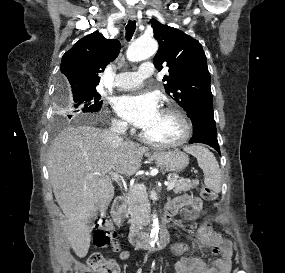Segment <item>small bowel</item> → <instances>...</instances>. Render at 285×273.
Listing matches in <instances>:
<instances>
[{
	"instance_id": "1",
	"label": "small bowel",
	"mask_w": 285,
	"mask_h": 273,
	"mask_svg": "<svg viewBox=\"0 0 285 273\" xmlns=\"http://www.w3.org/2000/svg\"><path fill=\"white\" fill-rule=\"evenodd\" d=\"M202 212L203 202L200 198L190 195H183L169 204L166 211L173 215L180 210ZM198 247L209 249L219 258L213 260L211 265L196 256H182L174 263L173 273H230L232 248L231 243L223 239L220 234L213 230L207 222L203 223L197 231ZM191 251V247L184 242H177L172 246L171 252L174 256H181Z\"/></svg>"
}]
</instances>
